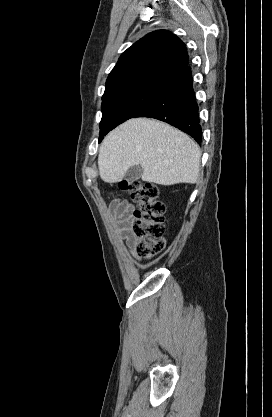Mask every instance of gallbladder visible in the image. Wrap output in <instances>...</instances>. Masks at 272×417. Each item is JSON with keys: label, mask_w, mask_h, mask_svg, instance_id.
Here are the masks:
<instances>
[{"label": "gallbladder", "mask_w": 272, "mask_h": 417, "mask_svg": "<svg viewBox=\"0 0 272 417\" xmlns=\"http://www.w3.org/2000/svg\"><path fill=\"white\" fill-rule=\"evenodd\" d=\"M143 173V169L141 165H135L129 168V170L125 174V179L132 183L135 180H138Z\"/></svg>", "instance_id": "gallbladder-1"}]
</instances>
